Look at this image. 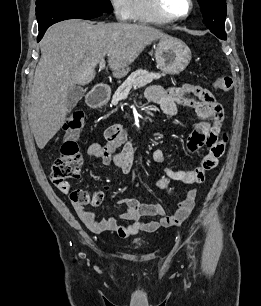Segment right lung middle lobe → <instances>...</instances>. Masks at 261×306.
Here are the masks:
<instances>
[{"label":"right lung middle lobe","mask_w":261,"mask_h":306,"mask_svg":"<svg viewBox=\"0 0 261 306\" xmlns=\"http://www.w3.org/2000/svg\"><path fill=\"white\" fill-rule=\"evenodd\" d=\"M36 6L100 13L113 11L110 0H36Z\"/></svg>","instance_id":"right-lung-middle-lobe-1"}]
</instances>
